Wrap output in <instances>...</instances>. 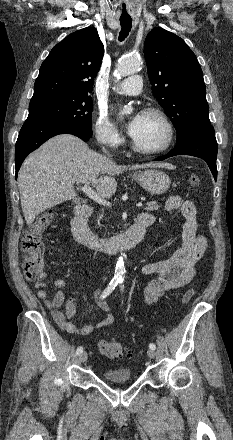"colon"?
I'll return each instance as SVG.
<instances>
[{
  "label": "colon",
  "mask_w": 233,
  "mask_h": 440,
  "mask_svg": "<svg viewBox=\"0 0 233 440\" xmlns=\"http://www.w3.org/2000/svg\"><path fill=\"white\" fill-rule=\"evenodd\" d=\"M188 182L192 187L200 185V177L192 174ZM54 220L52 210L41 213L36 221L24 231L22 236L23 272L28 280H42L44 278L45 245L42 235ZM194 289L190 288L182 296V303L187 304L194 296ZM97 346L100 353L111 359H129L133 353L121 343L106 339H98Z\"/></svg>",
  "instance_id": "colon-1"
}]
</instances>
